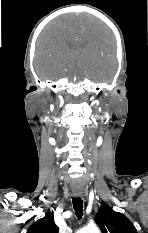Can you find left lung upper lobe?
<instances>
[{"label":"left lung upper lobe","instance_id":"1","mask_svg":"<svg viewBox=\"0 0 148 233\" xmlns=\"http://www.w3.org/2000/svg\"><path fill=\"white\" fill-rule=\"evenodd\" d=\"M96 222L102 233H137L132 222L122 213L103 205L96 214Z\"/></svg>","mask_w":148,"mask_h":233}]
</instances>
